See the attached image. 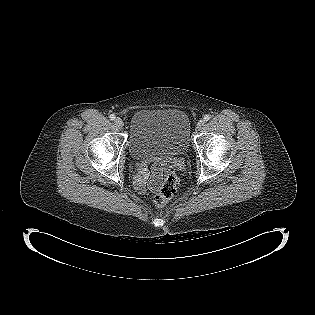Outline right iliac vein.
<instances>
[{
    "instance_id": "obj_1",
    "label": "right iliac vein",
    "mask_w": 315,
    "mask_h": 315,
    "mask_svg": "<svg viewBox=\"0 0 315 315\" xmlns=\"http://www.w3.org/2000/svg\"><path fill=\"white\" fill-rule=\"evenodd\" d=\"M115 125L117 128L122 129L124 126V122L121 118H116L115 119Z\"/></svg>"
}]
</instances>
